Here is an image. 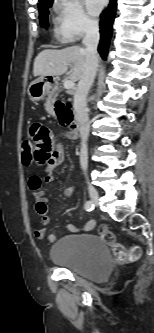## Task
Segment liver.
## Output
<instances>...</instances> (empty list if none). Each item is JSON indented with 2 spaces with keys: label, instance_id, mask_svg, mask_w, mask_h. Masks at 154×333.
<instances>
[{
  "label": "liver",
  "instance_id": "6515ba94",
  "mask_svg": "<svg viewBox=\"0 0 154 333\" xmlns=\"http://www.w3.org/2000/svg\"><path fill=\"white\" fill-rule=\"evenodd\" d=\"M86 51L79 46H70L61 50L45 49L41 51L34 61L33 75L58 76L67 72L68 65L73 63L70 79L78 81L85 70Z\"/></svg>",
  "mask_w": 154,
  "mask_h": 333
}]
</instances>
